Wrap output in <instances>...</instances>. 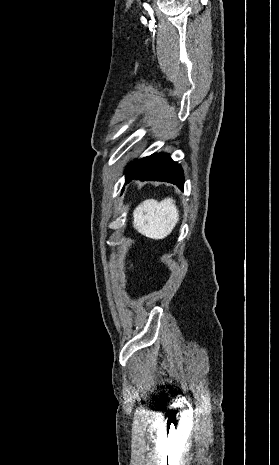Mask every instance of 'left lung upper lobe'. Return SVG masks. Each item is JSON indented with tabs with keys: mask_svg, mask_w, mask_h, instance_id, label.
<instances>
[{
	"mask_svg": "<svg viewBox=\"0 0 279 465\" xmlns=\"http://www.w3.org/2000/svg\"><path fill=\"white\" fill-rule=\"evenodd\" d=\"M153 155L140 159L137 162L135 161L134 163H131V165L127 168L126 171V181H128V179L131 176H133L143 165H145L152 158Z\"/></svg>",
	"mask_w": 279,
	"mask_h": 465,
	"instance_id": "5c2ea615",
	"label": "left lung upper lobe"
}]
</instances>
